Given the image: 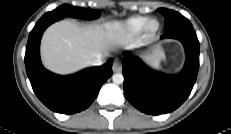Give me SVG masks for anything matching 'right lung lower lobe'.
<instances>
[{
	"instance_id": "1",
	"label": "right lung lower lobe",
	"mask_w": 231,
	"mask_h": 134,
	"mask_svg": "<svg viewBox=\"0 0 231 134\" xmlns=\"http://www.w3.org/2000/svg\"><path fill=\"white\" fill-rule=\"evenodd\" d=\"M57 20H39L29 34L25 67L36 96L49 109L73 114L86 109L95 100L102 84L112 75L110 59L100 67L59 76L46 70L40 60V40L43 31Z\"/></svg>"
}]
</instances>
